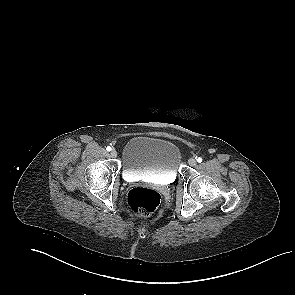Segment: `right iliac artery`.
Masks as SVG:
<instances>
[{"label": "right iliac artery", "mask_w": 295, "mask_h": 295, "mask_svg": "<svg viewBox=\"0 0 295 295\" xmlns=\"http://www.w3.org/2000/svg\"><path fill=\"white\" fill-rule=\"evenodd\" d=\"M106 150H107V151H111V147L108 146V147L106 148Z\"/></svg>", "instance_id": "1"}]
</instances>
